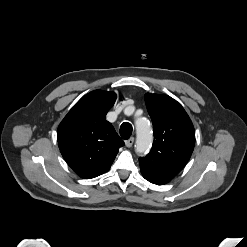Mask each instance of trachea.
Wrapping results in <instances>:
<instances>
[{
    "instance_id": "1",
    "label": "trachea",
    "mask_w": 247,
    "mask_h": 247,
    "mask_svg": "<svg viewBox=\"0 0 247 247\" xmlns=\"http://www.w3.org/2000/svg\"><path fill=\"white\" fill-rule=\"evenodd\" d=\"M132 134V125L128 122H124L120 126V135L123 139H129Z\"/></svg>"
}]
</instances>
